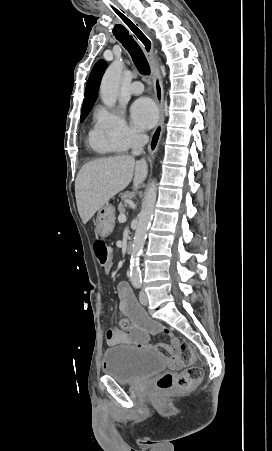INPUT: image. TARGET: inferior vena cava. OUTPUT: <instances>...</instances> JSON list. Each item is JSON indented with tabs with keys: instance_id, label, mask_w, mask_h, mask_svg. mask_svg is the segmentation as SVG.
Masks as SVG:
<instances>
[{
	"instance_id": "1",
	"label": "inferior vena cava",
	"mask_w": 272,
	"mask_h": 451,
	"mask_svg": "<svg viewBox=\"0 0 272 451\" xmlns=\"http://www.w3.org/2000/svg\"><path fill=\"white\" fill-rule=\"evenodd\" d=\"M148 142V136H144V134H137V136H134L133 142H132V154L133 156H139V154H142V150Z\"/></svg>"
}]
</instances>
